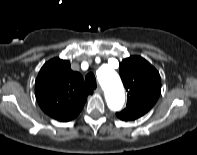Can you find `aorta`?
<instances>
[{"label": "aorta", "instance_id": "1", "mask_svg": "<svg viewBox=\"0 0 197 155\" xmlns=\"http://www.w3.org/2000/svg\"><path fill=\"white\" fill-rule=\"evenodd\" d=\"M97 78L104 89L109 109L113 111L120 110L125 102V93L119 75L112 67L102 65L97 70Z\"/></svg>", "mask_w": 197, "mask_h": 155}]
</instances>
